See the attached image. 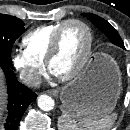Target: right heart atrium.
<instances>
[{
    "instance_id": "1",
    "label": "right heart atrium",
    "mask_w": 130,
    "mask_h": 130,
    "mask_svg": "<svg viewBox=\"0 0 130 130\" xmlns=\"http://www.w3.org/2000/svg\"><path fill=\"white\" fill-rule=\"evenodd\" d=\"M12 64L21 80L29 86H37L45 74L43 62L34 59L26 50H16L12 54Z\"/></svg>"
}]
</instances>
